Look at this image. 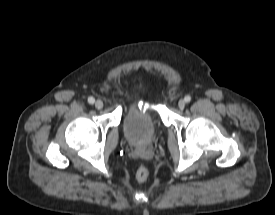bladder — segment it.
Wrapping results in <instances>:
<instances>
[{
  "instance_id": "31cf9c89",
  "label": "bladder",
  "mask_w": 275,
  "mask_h": 215,
  "mask_svg": "<svg viewBox=\"0 0 275 215\" xmlns=\"http://www.w3.org/2000/svg\"><path fill=\"white\" fill-rule=\"evenodd\" d=\"M122 130L126 140L132 144L151 142L159 130V122L150 104L130 110L123 120Z\"/></svg>"
}]
</instances>
